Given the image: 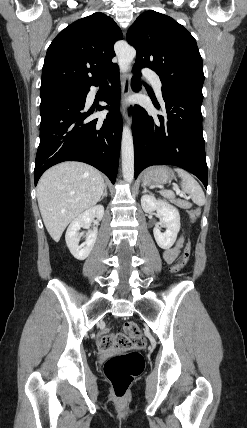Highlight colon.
<instances>
[{"label":"colon","instance_id":"1","mask_svg":"<svg viewBox=\"0 0 247 428\" xmlns=\"http://www.w3.org/2000/svg\"><path fill=\"white\" fill-rule=\"evenodd\" d=\"M200 214L199 209L190 211V218L195 221ZM191 244L187 243L181 257L172 266L174 274L179 273L188 263L191 255ZM146 346V339L137 324L127 322L119 333L105 332L99 341L102 350L113 348H129L130 352L110 357L104 364V373L111 384L114 395L123 398L134 379L142 372L143 358L138 350Z\"/></svg>","mask_w":247,"mask_h":428}]
</instances>
